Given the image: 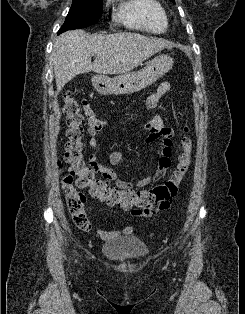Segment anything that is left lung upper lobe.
<instances>
[{
  "mask_svg": "<svg viewBox=\"0 0 245 314\" xmlns=\"http://www.w3.org/2000/svg\"><path fill=\"white\" fill-rule=\"evenodd\" d=\"M171 2L175 3V0H170Z\"/></svg>",
  "mask_w": 245,
  "mask_h": 314,
  "instance_id": "left-lung-upper-lobe-1",
  "label": "left lung upper lobe"
}]
</instances>
